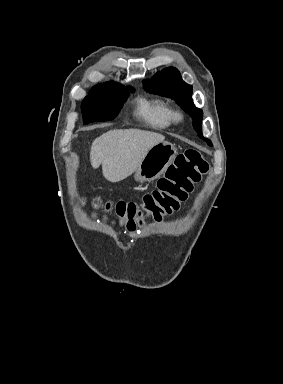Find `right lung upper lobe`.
<instances>
[{
    "label": "right lung upper lobe",
    "instance_id": "1",
    "mask_svg": "<svg viewBox=\"0 0 283 384\" xmlns=\"http://www.w3.org/2000/svg\"><path fill=\"white\" fill-rule=\"evenodd\" d=\"M112 85H118V83H114V82H106V83H103V84H98V85L94 86L93 88L107 87V86H112Z\"/></svg>",
    "mask_w": 283,
    "mask_h": 384
}]
</instances>
